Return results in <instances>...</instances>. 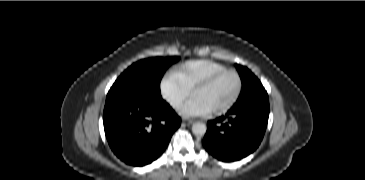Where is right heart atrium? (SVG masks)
<instances>
[{
	"label": "right heart atrium",
	"instance_id": "obj_1",
	"mask_svg": "<svg viewBox=\"0 0 365 180\" xmlns=\"http://www.w3.org/2000/svg\"><path fill=\"white\" fill-rule=\"evenodd\" d=\"M160 90L164 99L173 108H179L189 97V91L181 85L177 75L173 72L162 79Z\"/></svg>",
	"mask_w": 365,
	"mask_h": 180
}]
</instances>
